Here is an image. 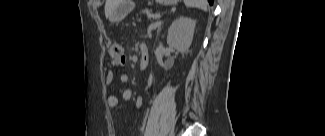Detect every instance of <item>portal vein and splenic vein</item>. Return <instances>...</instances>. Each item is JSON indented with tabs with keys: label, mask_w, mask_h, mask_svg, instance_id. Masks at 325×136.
Here are the masks:
<instances>
[{
	"label": "portal vein and splenic vein",
	"mask_w": 325,
	"mask_h": 136,
	"mask_svg": "<svg viewBox=\"0 0 325 136\" xmlns=\"http://www.w3.org/2000/svg\"><path fill=\"white\" fill-rule=\"evenodd\" d=\"M160 23H161V21H157V22L151 24V25L149 26V29H153V28L158 27V26L160 25Z\"/></svg>",
	"instance_id": "obj_1"
}]
</instances>
